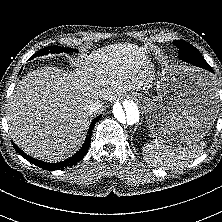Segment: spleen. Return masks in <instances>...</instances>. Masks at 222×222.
<instances>
[{
    "label": "spleen",
    "mask_w": 222,
    "mask_h": 222,
    "mask_svg": "<svg viewBox=\"0 0 222 222\" xmlns=\"http://www.w3.org/2000/svg\"><path fill=\"white\" fill-rule=\"evenodd\" d=\"M206 143L170 146L158 140L146 143L142 150L144 160L161 168H173L191 163L202 155Z\"/></svg>",
    "instance_id": "obj_1"
}]
</instances>
